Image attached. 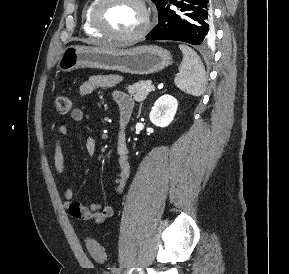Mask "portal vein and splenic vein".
Returning <instances> with one entry per match:
<instances>
[{
  "label": "portal vein and splenic vein",
  "instance_id": "18ae733b",
  "mask_svg": "<svg viewBox=\"0 0 289 274\" xmlns=\"http://www.w3.org/2000/svg\"><path fill=\"white\" fill-rule=\"evenodd\" d=\"M154 90V86H150L148 91H153Z\"/></svg>",
  "mask_w": 289,
  "mask_h": 274
}]
</instances>
